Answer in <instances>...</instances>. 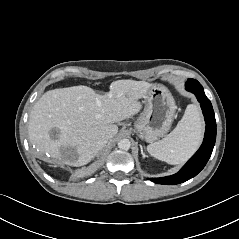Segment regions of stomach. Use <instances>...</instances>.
Masks as SVG:
<instances>
[{"label":"stomach","mask_w":239,"mask_h":239,"mask_svg":"<svg viewBox=\"0 0 239 239\" xmlns=\"http://www.w3.org/2000/svg\"><path fill=\"white\" fill-rule=\"evenodd\" d=\"M145 108L135 122V130L141 139L154 142L164 136L171 127L176 105L170 91L163 85H153L145 95Z\"/></svg>","instance_id":"0dacf381"}]
</instances>
